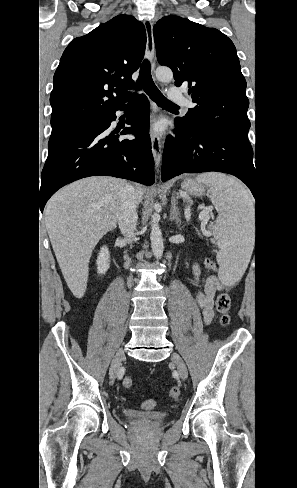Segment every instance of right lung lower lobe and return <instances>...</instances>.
Wrapping results in <instances>:
<instances>
[{
    "label": "right lung lower lobe",
    "instance_id": "obj_1",
    "mask_svg": "<svg viewBox=\"0 0 297 488\" xmlns=\"http://www.w3.org/2000/svg\"><path fill=\"white\" fill-rule=\"evenodd\" d=\"M129 108L126 123L131 127L111 131L115 112ZM149 102L146 96H132L130 103L112 113L77 127L57 138L41 175L39 206L43 212L48 199L75 180L97 175L125 178L145 185L154 183L153 156L149 136ZM134 134L135 138L119 139Z\"/></svg>",
    "mask_w": 297,
    "mask_h": 488
}]
</instances>
